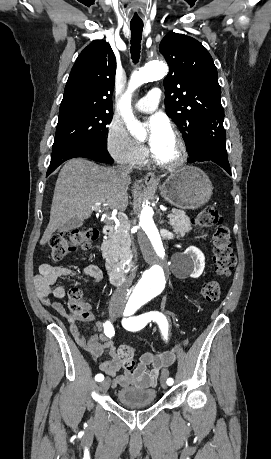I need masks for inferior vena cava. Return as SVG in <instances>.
Returning <instances> with one entry per match:
<instances>
[{
  "label": "inferior vena cava",
  "instance_id": "obj_1",
  "mask_svg": "<svg viewBox=\"0 0 271 459\" xmlns=\"http://www.w3.org/2000/svg\"><path fill=\"white\" fill-rule=\"evenodd\" d=\"M116 172H118V174H130V172H132V168L131 166H119ZM129 285V279L126 283H123V285H118L116 291L113 293V299H125L126 291Z\"/></svg>",
  "mask_w": 271,
  "mask_h": 459
}]
</instances>
